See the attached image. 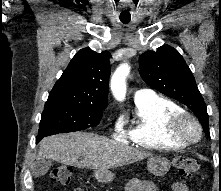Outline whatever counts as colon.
<instances>
[{"label":"colon","instance_id":"1","mask_svg":"<svg viewBox=\"0 0 221 191\" xmlns=\"http://www.w3.org/2000/svg\"><path fill=\"white\" fill-rule=\"evenodd\" d=\"M174 166L183 178L192 177L198 170V163L192 158L178 157L174 160ZM72 171L67 166H59L55 168L51 174L53 182L67 184L71 179ZM75 191H82L77 189Z\"/></svg>","mask_w":221,"mask_h":191}]
</instances>
